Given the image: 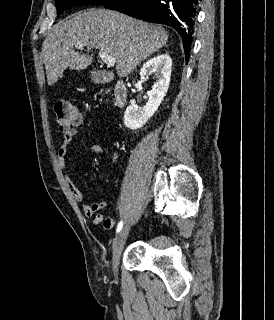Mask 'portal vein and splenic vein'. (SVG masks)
I'll use <instances>...</instances> for the list:
<instances>
[{"mask_svg":"<svg viewBox=\"0 0 274 320\" xmlns=\"http://www.w3.org/2000/svg\"><path fill=\"white\" fill-rule=\"evenodd\" d=\"M75 48H81V44L79 46H75ZM99 58H101L102 62L106 64L107 68H112L116 64V58L114 56H109V54H104V52H98Z\"/></svg>","mask_w":274,"mask_h":320,"instance_id":"1","label":"portal vein and splenic vein"}]
</instances>
